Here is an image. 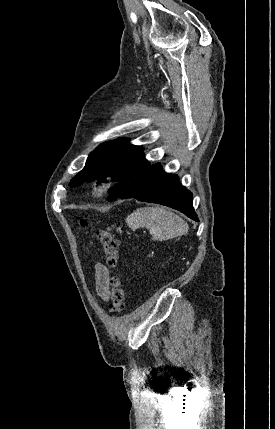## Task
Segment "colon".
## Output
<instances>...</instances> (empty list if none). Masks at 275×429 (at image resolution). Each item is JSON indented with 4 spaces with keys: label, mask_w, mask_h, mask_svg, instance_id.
<instances>
[{
    "label": "colon",
    "mask_w": 275,
    "mask_h": 429,
    "mask_svg": "<svg viewBox=\"0 0 275 429\" xmlns=\"http://www.w3.org/2000/svg\"><path fill=\"white\" fill-rule=\"evenodd\" d=\"M81 225L86 226L87 222L82 220ZM96 236L102 244L107 265L114 269L118 262L119 240L108 228L97 230ZM109 284L111 286L110 311L113 313H121L125 309V293L121 281L117 276H112L109 279Z\"/></svg>",
    "instance_id": "5ec220e1"
}]
</instances>
